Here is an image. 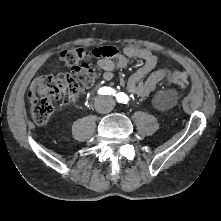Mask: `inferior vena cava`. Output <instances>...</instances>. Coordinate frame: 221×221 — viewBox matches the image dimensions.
<instances>
[{
  "mask_svg": "<svg viewBox=\"0 0 221 221\" xmlns=\"http://www.w3.org/2000/svg\"><path fill=\"white\" fill-rule=\"evenodd\" d=\"M114 105H115V102L113 99L108 98V97H102L98 102L97 110L100 113H107L113 109Z\"/></svg>",
  "mask_w": 221,
  "mask_h": 221,
  "instance_id": "obj_1",
  "label": "inferior vena cava"
}]
</instances>
